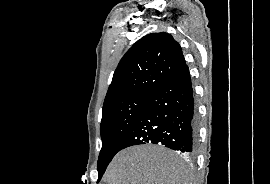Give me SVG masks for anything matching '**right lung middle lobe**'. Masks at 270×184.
Wrapping results in <instances>:
<instances>
[{"label": "right lung middle lobe", "instance_id": "dd1d6c3e", "mask_svg": "<svg viewBox=\"0 0 270 184\" xmlns=\"http://www.w3.org/2000/svg\"><path fill=\"white\" fill-rule=\"evenodd\" d=\"M148 96L134 95L103 106L100 126L102 149L98 158V181L119 151V146L141 112Z\"/></svg>", "mask_w": 270, "mask_h": 184}]
</instances>
